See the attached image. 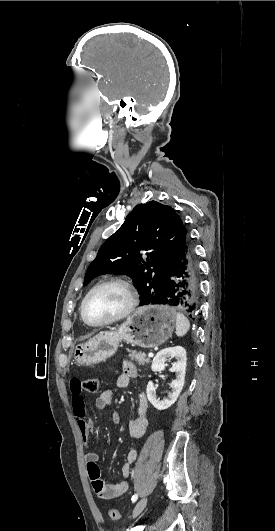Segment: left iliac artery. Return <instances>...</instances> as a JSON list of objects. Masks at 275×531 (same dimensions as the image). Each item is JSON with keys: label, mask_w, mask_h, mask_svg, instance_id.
<instances>
[{"label": "left iliac artery", "mask_w": 275, "mask_h": 531, "mask_svg": "<svg viewBox=\"0 0 275 531\" xmlns=\"http://www.w3.org/2000/svg\"><path fill=\"white\" fill-rule=\"evenodd\" d=\"M138 499V495L137 494H134L131 498L132 502L135 503Z\"/></svg>", "instance_id": "44dca946"}]
</instances>
